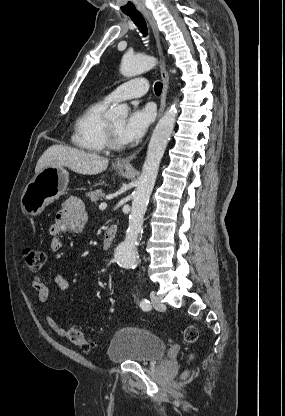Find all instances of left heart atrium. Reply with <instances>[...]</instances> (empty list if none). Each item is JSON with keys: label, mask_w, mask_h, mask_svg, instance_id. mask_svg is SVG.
<instances>
[{"label": "left heart atrium", "mask_w": 285, "mask_h": 416, "mask_svg": "<svg viewBox=\"0 0 285 416\" xmlns=\"http://www.w3.org/2000/svg\"><path fill=\"white\" fill-rule=\"evenodd\" d=\"M153 118L149 107H134L119 130V137L123 144L138 141L145 134Z\"/></svg>", "instance_id": "obj_1"}]
</instances>
